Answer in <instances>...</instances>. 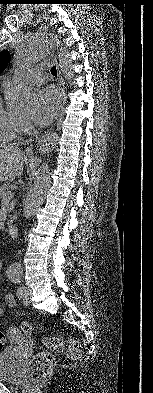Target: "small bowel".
Here are the masks:
<instances>
[{"label":"small bowel","mask_w":153,"mask_h":393,"mask_svg":"<svg viewBox=\"0 0 153 393\" xmlns=\"http://www.w3.org/2000/svg\"><path fill=\"white\" fill-rule=\"evenodd\" d=\"M16 304L15 297L11 294H7L4 296V305H0V316L4 313V307H14ZM12 330H15V328H12Z\"/></svg>","instance_id":"obj_1"}]
</instances>
